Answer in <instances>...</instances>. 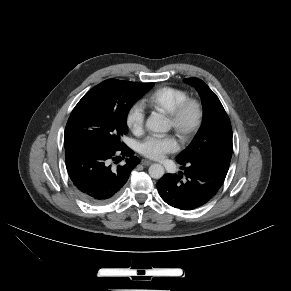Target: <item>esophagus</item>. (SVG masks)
Instances as JSON below:
<instances>
[{"label":"esophagus","instance_id":"1","mask_svg":"<svg viewBox=\"0 0 291 291\" xmlns=\"http://www.w3.org/2000/svg\"><path fill=\"white\" fill-rule=\"evenodd\" d=\"M141 164H142L143 166H149V165L152 164V162L149 161V160H146V159H142V160H141Z\"/></svg>","mask_w":291,"mask_h":291}]
</instances>
